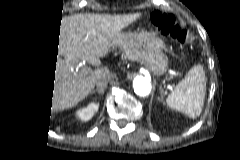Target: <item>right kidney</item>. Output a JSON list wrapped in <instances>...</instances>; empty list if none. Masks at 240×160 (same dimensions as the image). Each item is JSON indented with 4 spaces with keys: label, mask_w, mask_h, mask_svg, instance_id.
<instances>
[{
    "label": "right kidney",
    "mask_w": 240,
    "mask_h": 160,
    "mask_svg": "<svg viewBox=\"0 0 240 160\" xmlns=\"http://www.w3.org/2000/svg\"><path fill=\"white\" fill-rule=\"evenodd\" d=\"M97 109L98 105L96 103H90L87 107L80 109L78 115L82 120L87 121L93 117Z\"/></svg>",
    "instance_id": "1"
}]
</instances>
